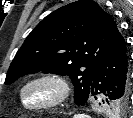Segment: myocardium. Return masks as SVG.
<instances>
[{
    "mask_svg": "<svg viewBox=\"0 0 133 118\" xmlns=\"http://www.w3.org/2000/svg\"><path fill=\"white\" fill-rule=\"evenodd\" d=\"M38 83L52 88L54 95L45 102L28 105L25 101V92L30 86ZM70 95L71 86L68 79L63 74L53 71L40 72L28 77L19 90L20 103L28 111H44L58 107L65 103Z\"/></svg>",
    "mask_w": 133,
    "mask_h": 118,
    "instance_id": "1",
    "label": "myocardium"
}]
</instances>
